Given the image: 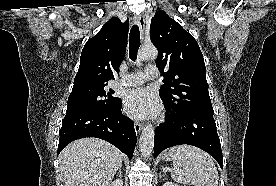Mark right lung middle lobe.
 I'll use <instances>...</instances> for the list:
<instances>
[{"label":"right lung middle lobe","mask_w":276,"mask_h":186,"mask_svg":"<svg viewBox=\"0 0 276 186\" xmlns=\"http://www.w3.org/2000/svg\"><path fill=\"white\" fill-rule=\"evenodd\" d=\"M112 93V90H106V85L74 87L68 98L66 114L87 110H111L120 100L117 97L111 96Z\"/></svg>","instance_id":"obj_1"}]
</instances>
